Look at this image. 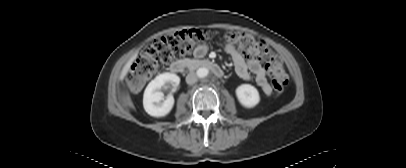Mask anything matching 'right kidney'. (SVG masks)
Masks as SVG:
<instances>
[{
	"instance_id": "obj_1",
	"label": "right kidney",
	"mask_w": 406,
	"mask_h": 168,
	"mask_svg": "<svg viewBox=\"0 0 406 168\" xmlns=\"http://www.w3.org/2000/svg\"><path fill=\"white\" fill-rule=\"evenodd\" d=\"M180 83V78L173 73H163L152 80L145 89L143 96V106L145 111L153 117H164L172 110L174 98L170 94L164 100V94L160 91L161 87L169 84L173 90ZM162 100H164L162 102Z\"/></svg>"
}]
</instances>
